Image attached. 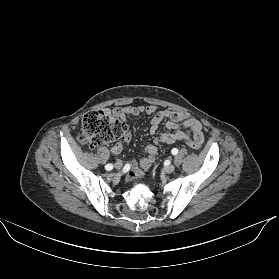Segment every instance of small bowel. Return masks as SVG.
Masks as SVG:
<instances>
[{
	"instance_id": "small-bowel-1",
	"label": "small bowel",
	"mask_w": 279,
	"mask_h": 279,
	"mask_svg": "<svg viewBox=\"0 0 279 279\" xmlns=\"http://www.w3.org/2000/svg\"><path fill=\"white\" fill-rule=\"evenodd\" d=\"M117 114L122 117L138 116L140 114L151 115L150 133L154 134L159 128L163 120L167 119L166 128L168 132L163 133L156 142L159 144H172L176 141H194L202 144L204 141V133L202 124L197 119L190 117L184 112H176L171 110L159 111L156 106H126L116 110ZM131 134L126 131L124 135L111 147L112 154H119L123 148L129 144ZM158 150L155 145H149L145 148V156L139 160H133L128 173V179L134 180L143 176V172L147 171L153 160L157 157Z\"/></svg>"
}]
</instances>
